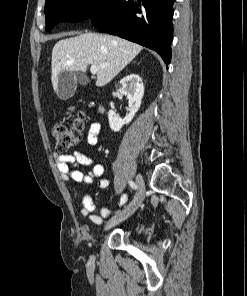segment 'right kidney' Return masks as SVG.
<instances>
[{"mask_svg": "<svg viewBox=\"0 0 247 296\" xmlns=\"http://www.w3.org/2000/svg\"><path fill=\"white\" fill-rule=\"evenodd\" d=\"M118 91L128 98L129 113L125 118H121L113 110L108 112L109 125L112 131L118 132L123 125L132 121L135 113L141 105V100L144 95V86L142 79L137 74H130L120 80Z\"/></svg>", "mask_w": 247, "mask_h": 296, "instance_id": "1", "label": "right kidney"}]
</instances>
